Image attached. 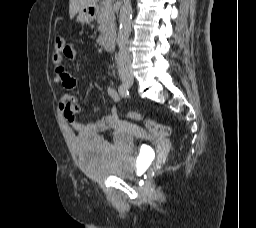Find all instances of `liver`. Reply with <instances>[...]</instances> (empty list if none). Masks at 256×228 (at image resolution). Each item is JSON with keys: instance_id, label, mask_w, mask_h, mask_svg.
I'll return each mask as SVG.
<instances>
[{"instance_id": "liver-1", "label": "liver", "mask_w": 256, "mask_h": 228, "mask_svg": "<svg viewBox=\"0 0 256 228\" xmlns=\"http://www.w3.org/2000/svg\"><path fill=\"white\" fill-rule=\"evenodd\" d=\"M98 0H70L69 1V15L72 19L80 10L95 6Z\"/></svg>"}]
</instances>
